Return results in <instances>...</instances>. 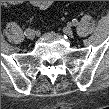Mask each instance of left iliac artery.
Masks as SVG:
<instances>
[{
  "label": "left iliac artery",
  "instance_id": "1",
  "mask_svg": "<svg viewBox=\"0 0 109 109\" xmlns=\"http://www.w3.org/2000/svg\"><path fill=\"white\" fill-rule=\"evenodd\" d=\"M72 23H73L74 26L78 25V21L76 19H73Z\"/></svg>",
  "mask_w": 109,
  "mask_h": 109
}]
</instances>
